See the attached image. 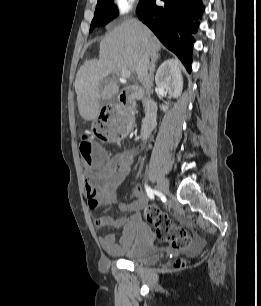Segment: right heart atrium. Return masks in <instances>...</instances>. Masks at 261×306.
<instances>
[{
  "mask_svg": "<svg viewBox=\"0 0 261 306\" xmlns=\"http://www.w3.org/2000/svg\"><path fill=\"white\" fill-rule=\"evenodd\" d=\"M136 5V0H113L112 11L117 18L130 13Z\"/></svg>",
  "mask_w": 261,
  "mask_h": 306,
  "instance_id": "right-heart-atrium-1",
  "label": "right heart atrium"
}]
</instances>
